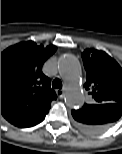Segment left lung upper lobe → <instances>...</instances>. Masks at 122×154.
Wrapping results in <instances>:
<instances>
[{"label": "left lung upper lobe", "mask_w": 122, "mask_h": 154, "mask_svg": "<svg viewBox=\"0 0 122 154\" xmlns=\"http://www.w3.org/2000/svg\"><path fill=\"white\" fill-rule=\"evenodd\" d=\"M86 70L85 89L92 97L91 104H122V68L103 51L86 49L82 53ZM80 110V109H79ZM78 110H72L75 121Z\"/></svg>", "instance_id": "obj_1"}]
</instances>
